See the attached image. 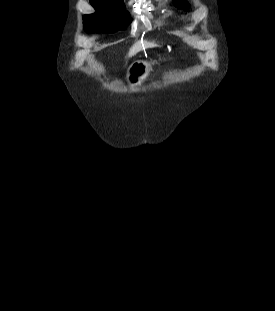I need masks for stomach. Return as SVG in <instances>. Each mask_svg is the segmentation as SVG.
<instances>
[{"label": "stomach", "mask_w": 275, "mask_h": 311, "mask_svg": "<svg viewBox=\"0 0 275 311\" xmlns=\"http://www.w3.org/2000/svg\"><path fill=\"white\" fill-rule=\"evenodd\" d=\"M150 70V63L136 61L132 63L126 72L127 84L131 89L137 88L146 78Z\"/></svg>", "instance_id": "1"}]
</instances>
